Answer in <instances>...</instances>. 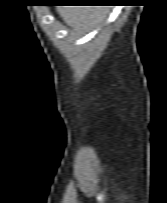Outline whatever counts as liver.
Masks as SVG:
<instances>
[{
  "label": "liver",
  "mask_w": 167,
  "mask_h": 203,
  "mask_svg": "<svg viewBox=\"0 0 167 203\" xmlns=\"http://www.w3.org/2000/svg\"><path fill=\"white\" fill-rule=\"evenodd\" d=\"M58 13L72 28L90 29L104 20L107 11L98 6H63Z\"/></svg>",
  "instance_id": "6515ba94"
}]
</instances>
